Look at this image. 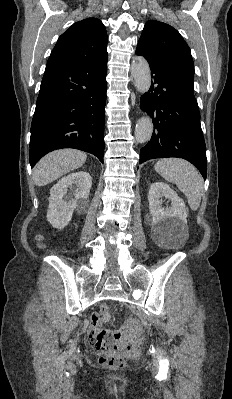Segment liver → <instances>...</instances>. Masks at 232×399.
Listing matches in <instances>:
<instances>
[{
  "label": "liver",
  "mask_w": 232,
  "mask_h": 399,
  "mask_svg": "<svg viewBox=\"0 0 232 399\" xmlns=\"http://www.w3.org/2000/svg\"><path fill=\"white\" fill-rule=\"evenodd\" d=\"M86 154L79 150H56L44 156L32 174L36 186H47L60 176L78 170L86 162Z\"/></svg>",
  "instance_id": "1"
}]
</instances>
